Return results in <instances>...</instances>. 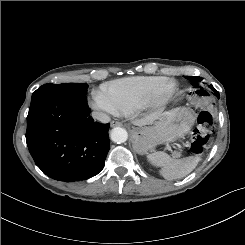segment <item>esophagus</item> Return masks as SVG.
Instances as JSON below:
<instances>
[{"label":"esophagus","mask_w":245,"mask_h":245,"mask_svg":"<svg viewBox=\"0 0 245 245\" xmlns=\"http://www.w3.org/2000/svg\"><path fill=\"white\" fill-rule=\"evenodd\" d=\"M110 125H111V127H116V126H121L122 123L118 122V121H112Z\"/></svg>","instance_id":"esophagus-1"}]
</instances>
